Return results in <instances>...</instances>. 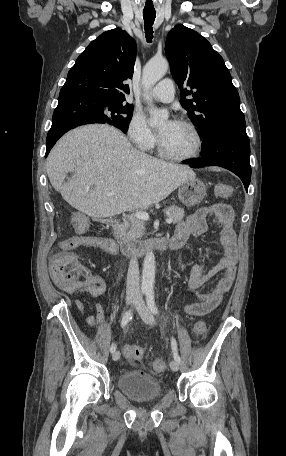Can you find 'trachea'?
Instances as JSON below:
<instances>
[{
	"mask_svg": "<svg viewBox=\"0 0 286 456\" xmlns=\"http://www.w3.org/2000/svg\"><path fill=\"white\" fill-rule=\"evenodd\" d=\"M156 17V13L143 12V18L145 22V34L147 42H151L153 38V23Z\"/></svg>",
	"mask_w": 286,
	"mask_h": 456,
	"instance_id": "obj_1",
	"label": "trachea"
}]
</instances>
